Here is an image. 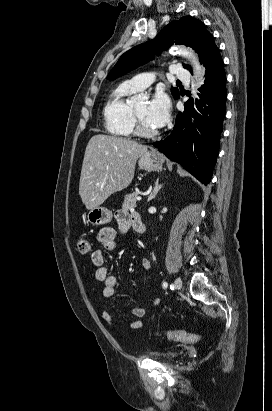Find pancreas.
<instances>
[{"mask_svg":"<svg viewBox=\"0 0 272 411\" xmlns=\"http://www.w3.org/2000/svg\"><path fill=\"white\" fill-rule=\"evenodd\" d=\"M137 195H138L137 192L127 194L124 198L122 208L125 210H130L132 208H135Z\"/></svg>","mask_w":272,"mask_h":411,"instance_id":"cf45deb5","label":"pancreas"}]
</instances>
